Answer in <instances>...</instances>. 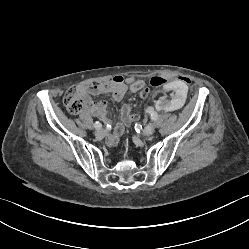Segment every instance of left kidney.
I'll return each instance as SVG.
<instances>
[{"instance_id": "obj_1", "label": "left kidney", "mask_w": 249, "mask_h": 249, "mask_svg": "<svg viewBox=\"0 0 249 249\" xmlns=\"http://www.w3.org/2000/svg\"><path fill=\"white\" fill-rule=\"evenodd\" d=\"M164 92L167 96H160L156 100V107L160 111L168 112L171 109L178 111L189 97L188 86L180 78H173L164 84Z\"/></svg>"}]
</instances>
